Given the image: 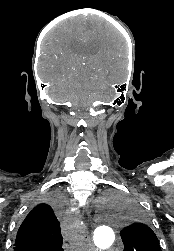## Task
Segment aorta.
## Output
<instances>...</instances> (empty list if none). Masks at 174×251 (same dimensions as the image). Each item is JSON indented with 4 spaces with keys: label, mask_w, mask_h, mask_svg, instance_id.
Instances as JSON below:
<instances>
[{
    "label": "aorta",
    "mask_w": 174,
    "mask_h": 251,
    "mask_svg": "<svg viewBox=\"0 0 174 251\" xmlns=\"http://www.w3.org/2000/svg\"><path fill=\"white\" fill-rule=\"evenodd\" d=\"M113 211L109 202L103 203L100 214L96 219V228L93 234L95 245L99 249H108L115 239Z\"/></svg>",
    "instance_id": "762f6f07"
}]
</instances>
